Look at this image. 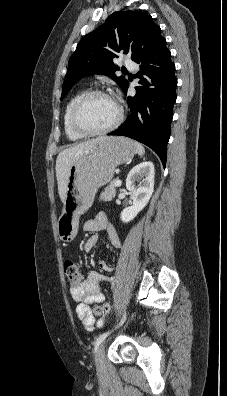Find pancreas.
Segmentation results:
<instances>
[{"label":"pancreas","mask_w":227,"mask_h":396,"mask_svg":"<svg viewBox=\"0 0 227 396\" xmlns=\"http://www.w3.org/2000/svg\"><path fill=\"white\" fill-rule=\"evenodd\" d=\"M116 180H113L104 190V192L101 193L100 199L103 201H111L115 195H116V186H115Z\"/></svg>","instance_id":"pancreas-1"}]
</instances>
